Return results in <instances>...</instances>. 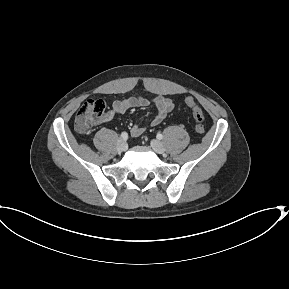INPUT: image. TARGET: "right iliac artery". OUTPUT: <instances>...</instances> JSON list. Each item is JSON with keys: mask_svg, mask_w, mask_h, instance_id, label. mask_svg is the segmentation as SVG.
<instances>
[{"mask_svg": "<svg viewBox=\"0 0 289 289\" xmlns=\"http://www.w3.org/2000/svg\"><path fill=\"white\" fill-rule=\"evenodd\" d=\"M121 138H123L124 140H126L128 138V134L126 132H123L121 134Z\"/></svg>", "mask_w": 289, "mask_h": 289, "instance_id": "obj_1", "label": "right iliac artery"}]
</instances>
